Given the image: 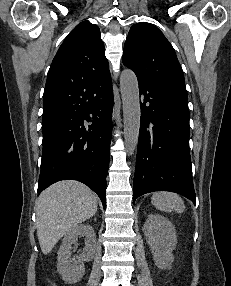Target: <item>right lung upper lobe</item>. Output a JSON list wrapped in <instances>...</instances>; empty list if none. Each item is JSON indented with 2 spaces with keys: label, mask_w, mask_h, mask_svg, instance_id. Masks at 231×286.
<instances>
[{
  "label": "right lung upper lobe",
  "mask_w": 231,
  "mask_h": 286,
  "mask_svg": "<svg viewBox=\"0 0 231 286\" xmlns=\"http://www.w3.org/2000/svg\"><path fill=\"white\" fill-rule=\"evenodd\" d=\"M110 75L100 29L89 21L66 37L50 66L43 98L44 111L66 100L79 86Z\"/></svg>",
  "instance_id": "cb5924a9"
}]
</instances>
